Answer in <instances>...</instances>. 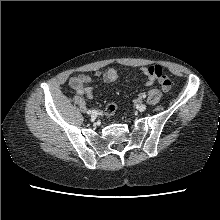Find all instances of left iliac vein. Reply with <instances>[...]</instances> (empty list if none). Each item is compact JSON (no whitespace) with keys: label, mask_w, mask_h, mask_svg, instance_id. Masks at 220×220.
I'll return each instance as SVG.
<instances>
[{"label":"left iliac vein","mask_w":220,"mask_h":220,"mask_svg":"<svg viewBox=\"0 0 220 220\" xmlns=\"http://www.w3.org/2000/svg\"><path fill=\"white\" fill-rule=\"evenodd\" d=\"M138 110H139L140 112H144V111L146 110V105H145V104H140V105L138 106Z\"/></svg>","instance_id":"4c4485c4"}]
</instances>
